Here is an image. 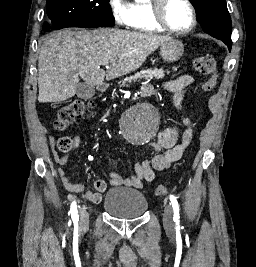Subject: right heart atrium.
<instances>
[{
  "mask_svg": "<svg viewBox=\"0 0 256 267\" xmlns=\"http://www.w3.org/2000/svg\"><path fill=\"white\" fill-rule=\"evenodd\" d=\"M115 22H121L122 27L130 28L131 27V17L128 14H115Z\"/></svg>",
  "mask_w": 256,
  "mask_h": 267,
  "instance_id": "obj_1",
  "label": "right heart atrium"
}]
</instances>
